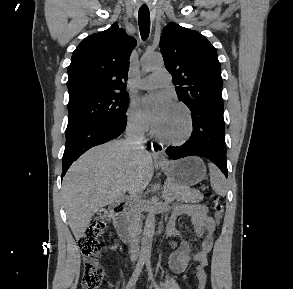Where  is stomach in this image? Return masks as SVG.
Segmentation results:
<instances>
[{
  "instance_id": "obj_1",
  "label": "stomach",
  "mask_w": 293,
  "mask_h": 289,
  "mask_svg": "<svg viewBox=\"0 0 293 289\" xmlns=\"http://www.w3.org/2000/svg\"><path fill=\"white\" fill-rule=\"evenodd\" d=\"M159 165L171 182L181 186L196 185L206 175V166L199 157H186Z\"/></svg>"
}]
</instances>
